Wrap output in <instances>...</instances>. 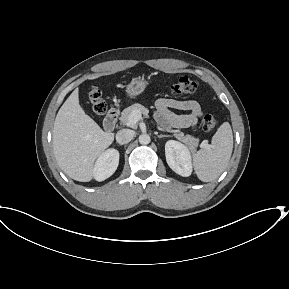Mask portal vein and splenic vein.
<instances>
[{"instance_id":"18ae733b","label":"portal vein and splenic vein","mask_w":289,"mask_h":289,"mask_svg":"<svg viewBox=\"0 0 289 289\" xmlns=\"http://www.w3.org/2000/svg\"><path fill=\"white\" fill-rule=\"evenodd\" d=\"M140 119H142V113L138 110H135L129 116V123L135 125ZM205 144V142H203Z\"/></svg>"}]
</instances>
